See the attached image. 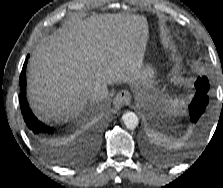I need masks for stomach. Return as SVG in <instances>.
I'll return each mask as SVG.
<instances>
[{
  "label": "stomach",
  "instance_id": "1",
  "mask_svg": "<svg viewBox=\"0 0 223 188\" xmlns=\"http://www.w3.org/2000/svg\"><path fill=\"white\" fill-rule=\"evenodd\" d=\"M143 71H144V78L142 79V83L144 85L151 84L154 79V70L150 65H144L143 66Z\"/></svg>",
  "mask_w": 223,
  "mask_h": 188
}]
</instances>
